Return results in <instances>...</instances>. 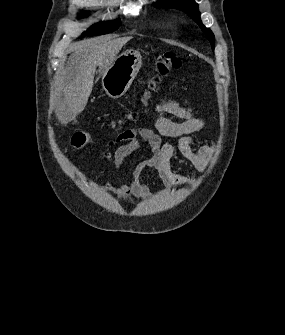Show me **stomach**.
I'll return each instance as SVG.
<instances>
[{
  "label": "stomach",
  "instance_id": "1",
  "mask_svg": "<svg viewBox=\"0 0 285 335\" xmlns=\"http://www.w3.org/2000/svg\"><path fill=\"white\" fill-rule=\"evenodd\" d=\"M142 66V56L136 50H126L114 58L102 76V86L109 98H121L129 90Z\"/></svg>",
  "mask_w": 285,
  "mask_h": 335
}]
</instances>
